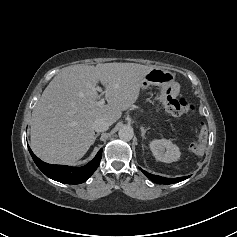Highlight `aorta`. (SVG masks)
Instances as JSON below:
<instances>
[{"instance_id": "762f6f07", "label": "aorta", "mask_w": 237, "mask_h": 237, "mask_svg": "<svg viewBox=\"0 0 237 237\" xmlns=\"http://www.w3.org/2000/svg\"><path fill=\"white\" fill-rule=\"evenodd\" d=\"M119 138L124 141H130L134 136V131L131 127H122L118 132Z\"/></svg>"}]
</instances>
